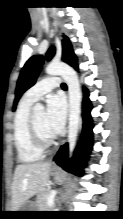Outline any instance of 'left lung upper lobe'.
<instances>
[{
  "label": "left lung upper lobe",
  "instance_id": "left-lung-upper-lobe-1",
  "mask_svg": "<svg viewBox=\"0 0 123 219\" xmlns=\"http://www.w3.org/2000/svg\"><path fill=\"white\" fill-rule=\"evenodd\" d=\"M55 53V48L51 47L46 54V59L50 60ZM62 59L64 62L68 63L72 67L77 66V59L73 53L72 46L69 42V39L64 36L63 39V54ZM44 63V57L41 55H34L32 56L22 68L20 73L16 92H15V101H14V108L17 105L18 100L22 96V94L29 89L31 86L35 84L37 76L40 72L41 66Z\"/></svg>",
  "mask_w": 123,
  "mask_h": 219
}]
</instances>
